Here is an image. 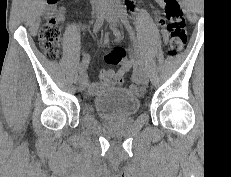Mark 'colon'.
I'll use <instances>...</instances> for the list:
<instances>
[{"label":"colon","mask_w":231,"mask_h":177,"mask_svg":"<svg viewBox=\"0 0 231 177\" xmlns=\"http://www.w3.org/2000/svg\"><path fill=\"white\" fill-rule=\"evenodd\" d=\"M48 4H55L57 0H47ZM165 9V20H160L164 25V36L168 42V55H177L187 42L185 20L178 0H162ZM39 43L45 56L49 59H56L60 49V27L56 16L51 15L43 24L39 33ZM106 60L117 64L126 61V55L121 49L112 50ZM131 91H139L135 85H131Z\"/></svg>","instance_id":"5ec220e1"}]
</instances>
